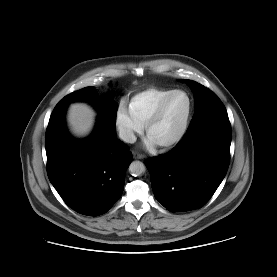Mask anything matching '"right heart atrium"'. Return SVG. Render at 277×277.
Wrapping results in <instances>:
<instances>
[{
    "instance_id": "right-heart-atrium-1",
    "label": "right heart atrium",
    "mask_w": 277,
    "mask_h": 277,
    "mask_svg": "<svg viewBox=\"0 0 277 277\" xmlns=\"http://www.w3.org/2000/svg\"><path fill=\"white\" fill-rule=\"evenodd\" d=\"M115 125L120 137L128 143L134 142L143 130V126L132 117L124 103H120L116 109Z\"/></svg>"
}]
</instances>
